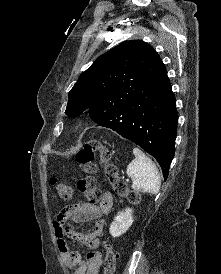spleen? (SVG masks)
I'll list each match as a JSON object with an SVG mask.
<instances>
[{
  "label": "spleen",
  "mask_w": 221,
  "mask_h": 274,
  "mask_svg": "<svg viewBox=\"0 0 221 274\" xmlns=\"http://www.w3.org/2000/svg\"><path fill=\"white\" fill-rule=\"evenodd\" d=\"M133 153L135 159L127 166V174L132 178V188L135 191L157 194L161 180L156 165L139 148H134Z\"/></svg>",
  "instance_id": "1"
}]
</instances>
